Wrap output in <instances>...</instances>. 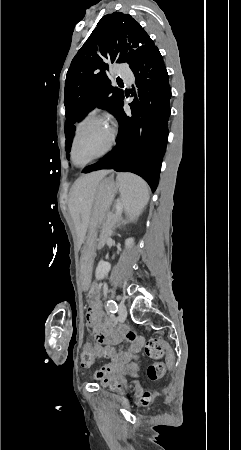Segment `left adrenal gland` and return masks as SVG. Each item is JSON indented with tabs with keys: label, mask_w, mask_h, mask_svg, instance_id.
Segmentation results:
<instances>
[{
	"label": "left adrenal gland",
	"mask_w": 241,
	"mask_h": 450,
	"mask_svg": "<svg viewBox=\"0 0 241 450\" xmlns=\"http://www.w3.org/2000/svg\"><path fill=\"white\" fill-rule=\"evenodd\" d=\"M129 222H131V220H118L117 228H119L121 224H129Z\"/></svg>",
	"instance_id": "obj_1"
}]
</instances>
